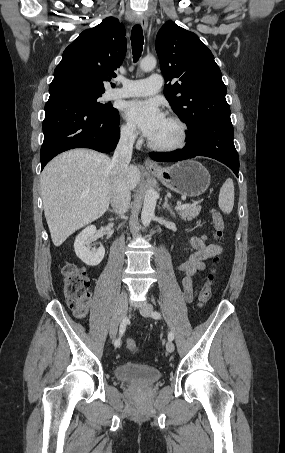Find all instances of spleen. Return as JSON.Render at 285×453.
<instances>
[{
  "label": "spleen",
  "mask_w": 285,
  "mask_h": 453,
  "mask_svg": "<svg viewBox=\"0 0 285 453\" xmlns=\"http://www.w3.org/2000/svg\"><path fill=\"white\" fill-rule=\"evenodd\" d=\"M218 206L220 210L229 214L234 206V183L231 178H228L222 185L218 197Z\"/></svg>",
  "instance_id": "spleen-1"
}]
</instances>
